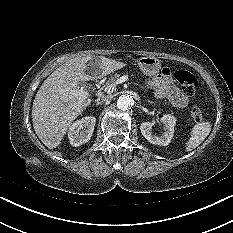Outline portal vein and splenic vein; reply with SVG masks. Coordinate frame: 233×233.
<instances>
[{
  "label": "portal vein and splenic vein",
  "instance_id": "1",
  "mask_svg": "<svg viewBox=\"0 0 233 233\" xmlns=\"http://www.w3.org/2000/svg\"><path fill=\"white\" fill-rule=\"evenodd\" d=\"M124 82V80L122 78L118 79L114 84H110L108 86H106L104 88V91L108 94L113 93V91L115 90L116 86L120 83ZM70 93L72 95H74L75 97H77L80 101H83L84 99H86L88 97V92L81 88V89H73V90H69ZM98 94H101V91H98Z\"/></svg>",
  "mask_w": 233,
  "mask_h": 233
}]
</instances>
